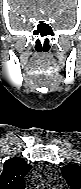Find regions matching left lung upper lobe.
<instances>
[{"label":"left lung upper lobe","mask_w":81,"mask_h":189,"mask_svg":"<svg viewBox=\"0 0 81 189\" xmlns=\"http://www.w3.org/2000/svg\"><path fill=\"white\" fill-rule=\"evenodd\" d=\"M61 173L71 189H81V166L66 165L61 169Z\"/></svg>","instance_id":"left-lung-upper-lobe-1"}]
</instances>
